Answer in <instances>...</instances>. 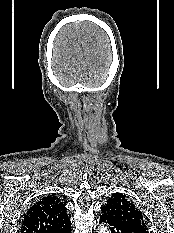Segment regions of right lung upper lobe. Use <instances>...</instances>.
Here are the masks:
<instances>
[{
	"mask_svg": "<svg viewBox=\"0 0 174 233\" xmlns=\"http://www.w3.org/2000/svg\"><path fill=\"white\" fill-rule=\"evenodd\" d=\"M66 207L54 194L44 196L23 216L21 233H54L70 225Z\"/></svg>",
	"mask_w": 174,
	"mask_h": 233,
	"instance_id": "right-lung-upper-lobe-1",
	"label": "right lung upper lobe"
}]
</instances>
